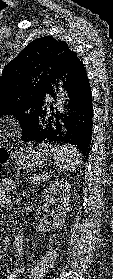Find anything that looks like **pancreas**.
<instances>
[{"instance_id": "pancreas-1", "label": "pancreas", "mask_w": 113, "mask_h": 279, "mask_svg": "<svg viewBox=\"0 0 113 279\" xmlns=\"http://www.w3.org/2000/svg\"><path fill=\"white\" fill-rule=\"evenodd\" d=\"M29 182L36 185V184H40L41 182H44L47 177L45 175L42 174H34L33 176H30L29 178Z\"/></svg>"}]
</instances>
